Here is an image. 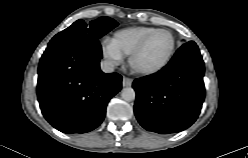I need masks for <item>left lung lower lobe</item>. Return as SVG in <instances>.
<instances>
[{
	"label": "left lung lower lobe",
	"instance_id": "obj_1",
	"mask_svg": "<svg viewBox=\"0 0 248 158\" xmlns=\"http://www.w3.org/2000/svg\"><path fill=\"white\" fill-rule=\"evenodd\" d=\"M204 62L193 42L182 45L159 72L133 82L134 113L148 131L169 134L197 119L205 97Z\"/></svg>",
	"mask_w": 248,
	"mask_h": 158
}]
</instances>
